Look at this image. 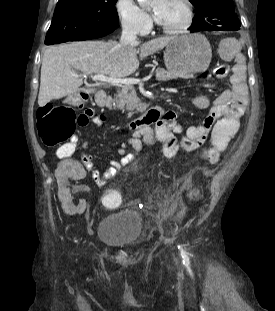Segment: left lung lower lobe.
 Masks as SVG:
<instances>
[{
    "label": "left lung lower lobe",
    "mask_w": 275,
    "mask_h": 311,
    "mask_svg": "<svg viewBox=\"0 0 275 311\" xmlns=\"http://www.w3.org/2000/svg\"><path fill=\"white\" fill-rule=\"evenodd\" d=\"M198 30H193L191 28V32H197ZM203 31H220V30H216V29H207V30H203Z\"/></svg>",
    "instance_id": "0a47b994"
}]
</instances>
